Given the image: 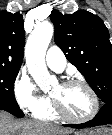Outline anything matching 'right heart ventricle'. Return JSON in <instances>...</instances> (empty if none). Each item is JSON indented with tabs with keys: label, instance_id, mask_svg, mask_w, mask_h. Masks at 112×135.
Masks as SVG:
<instances>
[{
	"label": "right heart ventricle",
	"instance_id": "1",
	"mask_svg": "<svg viewBox=\"0 0 112 135\" xmlns=\"http://www.w3.org/2000/svg\"><path fill=\"white\" fill-rule=\"evenodd\" d=\"M38 119L46 120V121H52L57 118V114L53 110L52 106L48 104L45 108L42 110L36 112L34 114Z\"/></svg>",
	"mask_w": 112,
	"mask_h": 135
}]
</instances>
